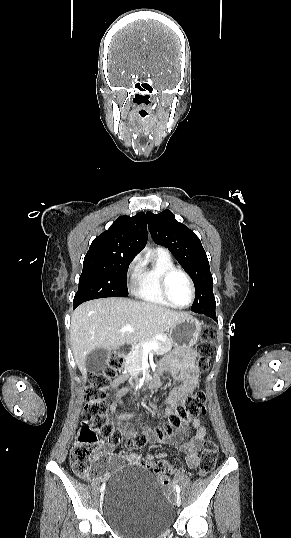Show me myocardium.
Returning <instances> with one entry per match:
<instances>
[{
  "mask_svg": "<svg viewBox=\"0 0 291 538\" xmlns=\"http://www.w3.org/2000/svg\"><path fill=\"white\" fill-rule=\"evenodd\" d=\"M176 273H180L182 274L188 284H189V288H190V300L187 304L185 305H178L176 304L170 297V294H169V290H168V284H169V280L170 278L176 274ZM160 288H161V293L164 297V299L173 307L175 308H179V309H185V308H188L194 301L195 299V286H194V283H193V280L192 278L190 277V275L183 269L181 268H178V267H173V268H170L168 270H166L162 276H161V279H160Z\"/></svg>",
  "mask_w": 291,
  "mask_h": 538,
  "instance_id": "1",
  "label": "myocardium"
}]
</instances>
